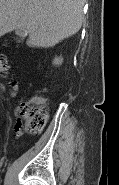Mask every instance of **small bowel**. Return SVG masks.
<instances>
[{
	"instance_id": "c3829d8e",
	"label": "small bowel",
	"mask_w": 119,
	"mask_h": 185,
	"mask_svg": "<svg viewBox=\"0 0 119 185\" xmlns=\"http://www.w3.org/2000/svg\"><path fill=\"white\" fill-rule=\"evenodd\" d=\"M12 96H16L17 92L19 90V84L18 82H13L12 83ZM19 111V108H17L16 112ZM26 122L21 126V122L18 120V127H17V135H23L26 132Z\"/></svg>"
}]
</instances>
